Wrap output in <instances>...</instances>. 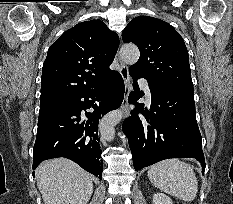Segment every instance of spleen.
I'll list each match as a JSON object with an SVG mask.
<instances>
[{"label": "spleen", "mask_w": 233, "mask_h": 204, "mask_svg": "<svg viewBox=\"0 0 233 204\" xmlns=\"http://www.w3.org/2000/svg\"><path fill=\"white\" fill-rule=\"evenodd\" d=\"M148 177L155 187L183 201H193L197 195L195 172L179 159H167L152 165Z\"/></svg>", "instance_id": "1"}]
</instances>
